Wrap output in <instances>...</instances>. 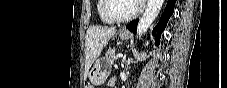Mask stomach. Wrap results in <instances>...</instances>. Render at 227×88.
I'll return each mask as SVG.
<instances>
[{"instance_id":"stomach-1","label":"stomach","mask_w":227,"mask_h":88,"mask_svg":"<svg viewBox=\"0 0 227 88\" xmlns=\"http://www.w3.org/2000/svg\"><path fill=\"white\" fill-rule=\"evenodd\" d=\"M121 40H128L130 33L126 30H122L118 33ZM108 76V70L103 66L101 59L97 60L91 70L89 71V80L93 85H101L105 82Z\"/></svg>"}]
</instances>
